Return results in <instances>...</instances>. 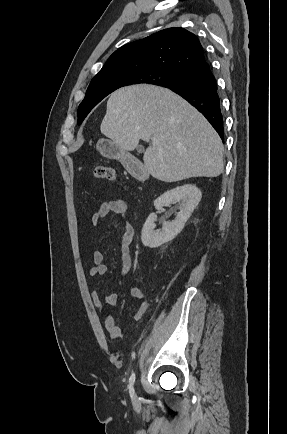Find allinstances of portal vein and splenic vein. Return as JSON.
I'll return each mask as SVG.
<instances>
[{
  "label": "portal vein and splenic vein",
  "mask_w": 287,
  "mask_h": 434,
  "mask_svg": "<svg viewBox=\"0 0 287 434\" xmlns=\"http://www.w3.org/2000/svg\"><path fill=\"white\" fill-rule=\"evenodd\" d=\"M157 142L156 141H153V144H156Z\"/></svg>",
  "instance_id": "obj_1"
}]
</instances>
